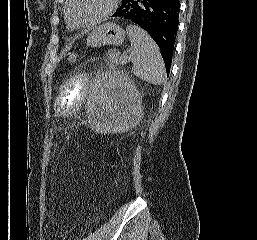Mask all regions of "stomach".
I'll list each match as a JSON object with an SVG mask.
<instances>
[{
	"label": "stomach",
	"mask_w": 257,
	"mask_h": 240,
	"mask_svg": "<svg viewBox=\"0 0 257 240\" xmlns=\"http://www.w3.org/2000/svg\"><path fill=\"white\" fill-rule=\"evenodd\" d=\"M125 32L117 24L107 22L95 27L87 37V46L120 45L124 41Z\"/></svg>",
	"instance_id": "obj_1"
}]
</instances>
